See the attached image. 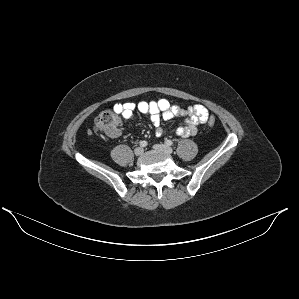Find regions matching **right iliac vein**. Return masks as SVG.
<instances>
[{"label":"right iliac vein","instance_id":"63e3f726","mask_svg":"<svg viewBox=\"0 0 299 299\" xmlns=\"http://www.w3.org/2000/svg\"><path fill=\"white\" fill-rule=\"evenodd\" d=\"M143 152H144V149H143L142 147H137V148H135V150H134V154H135L136 156H140V155H142Z\"/></svg>","mask_w":299,"mask_h":299}]
</instances>
